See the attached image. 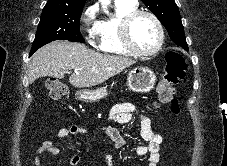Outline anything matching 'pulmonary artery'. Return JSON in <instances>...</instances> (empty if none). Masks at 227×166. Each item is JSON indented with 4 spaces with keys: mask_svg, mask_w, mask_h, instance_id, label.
<instances>
[{
    "mask_svg": "<svg viewBox=\"0 0 227 166\" xmlns=\"http://www.w3.org/2000/svg\"><path fill=\"white\" fill-rule=\"evenodd\" d=\"M116 2H122L130 5H136L137 0H115Z\"/></svg>",
    "mask_w": 227,
    "mask_h": 166,
    "instance_id": "obj_1",
    "label": "pulmonary artery"
}]
</instances>
